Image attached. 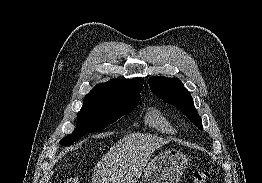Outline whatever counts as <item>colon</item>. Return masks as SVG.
I'll return each mask as SVG.
<instances>
[{"instance_id":"5ec220e1","label":"colon","mask_w":262,"mask_h":183,"mask_svg":"<svg viewBox=\"0 0 262 183\" xmlns=\"http://www.w3.org/2000/svg\"><path fill=\"white\" fill-rule=\"evenodd\" d=\"M210 173L207 170H197L191 175L192 183H206L209 180ZM60 183H80L77 177H70Z\"/></svg>"}]
</instances>
